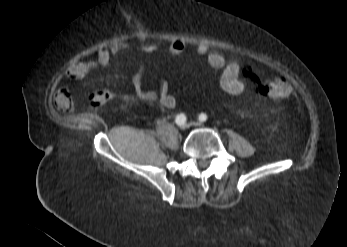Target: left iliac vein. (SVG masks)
<instances>
[{
  "label": "left iliac vein",
  "mask_w": 347,
  "mask_h": 247,
  "mask_svg": "<svg viewBox=\"0 0 347 247\" xmlns=\"http://www.w3.org/2000/svg\"><path fill=\"white\" fill-rule=\"evenodd\" d=\"M193 126H197V127H200L202 126V123L201 122H193L191 123Z\"/></svg>",
  "instance_id": "left-iliac-vein-1"
}]
</instances>
